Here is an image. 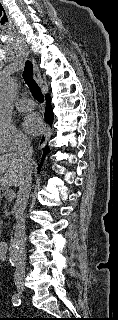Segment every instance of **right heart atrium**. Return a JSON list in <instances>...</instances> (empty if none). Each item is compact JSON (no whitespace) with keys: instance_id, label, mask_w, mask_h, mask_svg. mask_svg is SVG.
I'll return each instance as SVG.
<instances>
[{"instance_id":"obj_1","label":"right heart atrium","mask_w":118,"mask_h":320,"mask_svg":"<svg viewBox=\"0 0 118 320\" xmlns=\"http://www.w3.org/2000/svg\"><path fill=\"white\" fill-rule=\"evenodd\" d=\"M28 143V137L14 125H0V152H11Z\"/></svg>"}]
</instances>
